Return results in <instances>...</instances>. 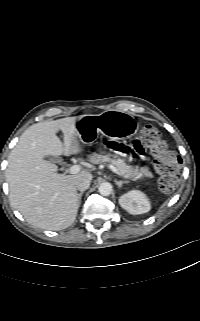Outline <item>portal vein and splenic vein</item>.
Wrapping results in <instances>:
<instances>
[{
    "instance_id": "portal-vein-and-splenic-vein-1",
    "label": "portal vein and splenic vein",
    "mask_w": 200,
    "mask_h": 321,
    "mask_svg": "<svg viewBox=\"0 0 200 321\" xmlns=\"http://www.w3.org/2000/svg\"><path fill=\"white\" fill-rule=\"evenodd\" d=\"M108 167H109V169L111 171H113L117 175L121 176L122 178H126V176H124L123 173L119 169H117L116 167H114L112 165H109ZM80 171H81V166L80 165H73V166L69 167V169H67L66 172L69 173V174H77Z\"/></svg>"
}]
</instances>
